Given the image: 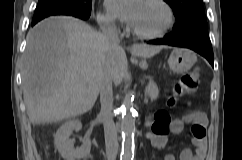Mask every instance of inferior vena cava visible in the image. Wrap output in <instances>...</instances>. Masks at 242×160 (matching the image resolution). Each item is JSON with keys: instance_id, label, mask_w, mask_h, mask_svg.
I'll return each instance as SVG.
<instances>
[{"instance_id": "1", "label": "inferior vena cava", "mask_w": 242, "mask_h": 160, "mask_svg": "<svg viewBox=\"0 0 242 160\" xmlns=\"http://www.w3.org/2000/svg\"><path fill=\"white\" fill-rule=\"evenodd\" d=\"M104 38L110 45H118L119 37L116 26L113 23H103L100 25ZM120 68V58H112L109 68L103 72L100 82V103L99 113L104 125L105 146L107 160H116L118 153L117 129L113 120V91L112 81H116L118 70Z\"/></svg>"}]
</instances>
